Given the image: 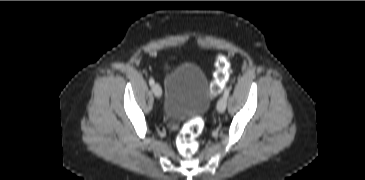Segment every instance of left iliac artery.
<instances>
[{
    "label": "left iliac artery",
    "instance_id": "44dca946",
    "mask_svg": "<svg viewBox=\"0 0 365 180\" xmlns=\"http://www.w3.org/2000/svg\"><path fill=\"white\" fill-rule=\"evenodd\" d=\"M223 97H225L226 99L229 97V88L225 89Z\"/></svg>",
    "mask_w": 365,
    "mask_h": 180
}]
</instances>
